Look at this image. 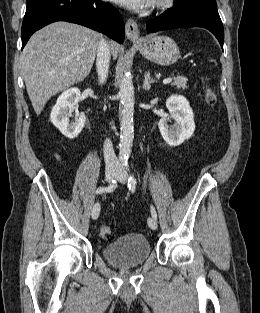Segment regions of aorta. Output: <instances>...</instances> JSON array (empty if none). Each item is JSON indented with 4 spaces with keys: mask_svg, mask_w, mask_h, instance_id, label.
<instances>
[{
    "mask_svg": "<svg viewBox=\"0 0 260 313\" xmlns=\"http://www.w3.org/2000/svg\"><path fill=\"white\" fill-rule=\"evenodd\" d=\"M119 121L120 144L119 160L126 163L131 154L134 139L133 112H134V86L130 77L123 76L119 85Z\"/></svg>",
    "mask_w": 260,
    "mask_h": 313,
    "instance_id": "762f6f07",
    "label": "aorta"
}]
</instances>
